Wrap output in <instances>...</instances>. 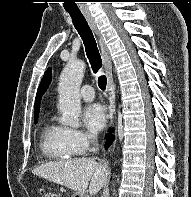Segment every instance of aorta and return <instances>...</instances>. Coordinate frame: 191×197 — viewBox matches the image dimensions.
<instances>
[{
  "label": "aorta",
  "mask_w": 191,
  "mask_h": 197,
  "mask_svg": "<svg viewBox=\"0 0 191 197\" xmlns=\"http://www.w3.org/2000/svg\"><path fill=\"white\" fill-rule=\"evenodd\" d=\"M85 67L83 61H69L60 75L58 108L62 114L60 122L65 126L73 128L80 126L81 99L79 90Z\"/></svg>",
  "instance_id": "obj_1"
}]
</instances>
